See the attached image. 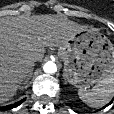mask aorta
I'll return each instance as SVG.
<instances>
[{
  "mask_svg": "<svg viewBox=\"0 0 114 114\" xmlns=\"http://www.w3.org/2000/svg\"><path fill=\"white\" fill-rule=\"evenodd\" d=\"M43 70L46 73H55L57 71V66L54 62L48 61L44 64Z\"/></svg>",
  "mask_w": 114,
  "mask_h": 114,
  "instance_id": "aorta-1",
  "label": "aorta"
}]
</instances>
